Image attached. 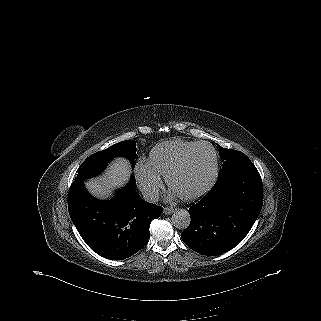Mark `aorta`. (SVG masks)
Masks as SVG:
<instances>
[{"label":"aorta","instance_id":"obj_1","mask_svg":"<svg viewBox=\"0 0 321 321\" xmlns=\"http://www.w3.org/2000/svg\"><path fill=\"white\" fill-rule=\"evenodd\" d=\"M191 222V217L188 211L178 209L172 215V224L175 228L184 230L188 228Z\"/></svg>","mask_w":321,"mask_h":321}]
</instances>
